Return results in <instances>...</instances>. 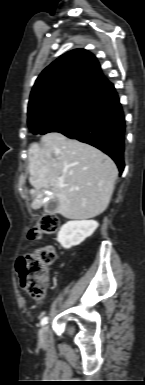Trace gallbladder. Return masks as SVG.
I'll return each mask as SVG.
<instances>
[{
  "label": "gallbladder",
  "mask_w": 145,
  "mask_h": 385,
  "mask_svg": "<svg viewBox=\"0 0 145 385\" xmlns=\"http://www.w3.org/2000/svg\"><path fill=\"white\" fill-rule=\"evenodd\" d=\"M58 210L57 201H49L44 205V211L49 214H54Z\"/></svg>",
  "instance_id": "obj_1"
}]
</instances>
